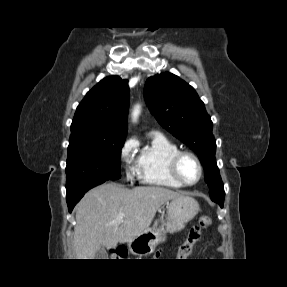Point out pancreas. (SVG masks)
<instances>
[{
    "mask_svg": "<svg viewBox=\"0 0 287 287\" xmlns=\"http://www.w3.org/2000/svg\"><path fill=\"white\" fill-rule=\"evenodd\" d=\"M158 224V221L156 220L155 223H154V227H156Z\"/></svg>",
    "mask_w": 287,
    "mask_h": 287,
    "instance_id": "obj_1",
    "label": "pancreas"
}]
</instances>
